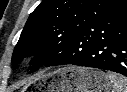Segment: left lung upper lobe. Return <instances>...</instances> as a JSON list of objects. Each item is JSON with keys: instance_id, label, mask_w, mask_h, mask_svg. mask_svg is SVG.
<instances>
[{"instance_id": "obj_1", "label": "left lung upper lobe", "mask_w": 127, "mask_h": 92, "mask_svg": "<svg viewBox=\"0 0 127 92\" xmlns=\"http://www.w3.org/2000/svg\"><path fill=\"white\" fill-rule=\"evenodd\" d=\"M126 0H43L31 13L12 63L36 54L33 70L57 58L72 38ZM16 67V65H14Z\"/></svg>"}]
</instances>
